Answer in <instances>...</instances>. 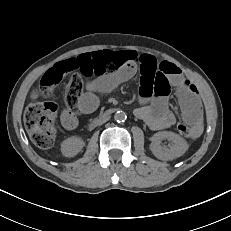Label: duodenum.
Here are the masks:
<instances>
[{"instance_id":"duodenum-1","label":"duodenum","mask_w":231,"mask_h":231,"mask_svg":"<svg viewBox=\"0 0 231 231\" xmlns=\"http://www.w3.org/2000/svg\"><path fill=\"white\" fill-rule=\"evenodd\" d=\"M115 111H116V108H114V107L107 108L100 116L95 117L94 119H92L91 121H89L88 124H87V128L88 129L94 128L96 125H98L101 122V120L103 118H105L107 116H110Z\"/></svg>"}]
</instances>
